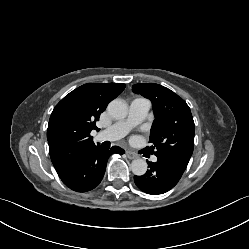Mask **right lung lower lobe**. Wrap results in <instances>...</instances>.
Here are the masks:
<instances>
[{"label":"right lung lower lobe","instance_id":"obj_1","mask_svg":"<svg viewBox=\"0 0 249 249\" xmlns=\"http://www.w3.org/2000/svg\"><path fill=\"white\" fill-rule=\"evenodd\" d=\"M113 153L123 154L124 150L117 146L108 150L99 144L93 145L60 178L67 187L74 191H90L101 182L107 160Z\"/></svg>","mask_w":249,"mask_h":249}]
</instances>
